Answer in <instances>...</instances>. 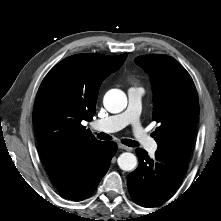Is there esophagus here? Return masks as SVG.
<instances>
[{"label": "esophagus", "mask_w": 221, "mask_h": 221, "mask_svg": "<svg viewBox=\"0 0 221 221\" xmlns=\"http://www.w3.org/2000/svg\"><path fill=\"white\" fill-rule=\"evenodd\" d=\"M118 148L126 150V151H131L132 150V148H130V147L124 145V144H121V143L118 144Z\"/></svg>", "instance_id": "1"}]
</instances>
